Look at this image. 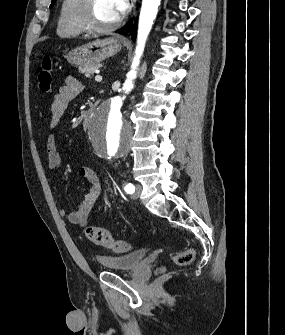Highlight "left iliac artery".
I'll return each mask as SVG.
<instances>
[{
  "label": "left iliac artery",
  "mask_w": 285,
  "mask_h": 335,
  "mask_svg": "<svg viewBox=\"0 0 285 335\" xmlns=\"http://www.w3.org/2000/svg\"><path fill=\"white\" fill-rule=\"evenodd\" d=\"M124 190H125V192H126L127 194H132V193H134V191H135V187H134L133 184L128 183V184L124 187Z\"/></svg>",
  "instance_id": "left-iliac-artery-1"
}]
</instances>
